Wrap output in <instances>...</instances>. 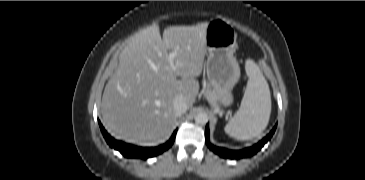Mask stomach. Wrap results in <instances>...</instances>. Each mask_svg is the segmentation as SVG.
<instances>
[{
	"label": "stomach",
	"instance_id": "0dacf381",
	"mask_svg": "<svg viewBox=\"0 0 365 180\" xmlns=\"http://www.w3.org/2000/svg\"><path fill=\"white\" fill-rule=\"evenodd\" d=\"M205 38L209 85L218 102L224 107L230 106L233 103L232 89L240 78V67L233 55L237 47V33L229 22L216 18L208 22Z\"/></svg>",
	"mask_w": 365,
	"mask_h": 180
}]
</instances>
